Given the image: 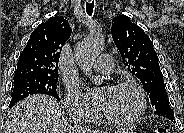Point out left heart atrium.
<instances>
[{"mask_svg": "<svg viewBox=\"0 0 184 133\" xmlns=\"http://www.w3.org/2000/svg\"><path fill=\"white\" fill-rule=\"evenodd\" d=\"M111 88L105 87L103 89L94 90L91 92V98L94 100L98 108L103 109L109 98Z\"/></svg>", "mask_w": 184, "mask_h": 133, "instance_id": "1", "label": "left heart atrium"}]
</instances>
